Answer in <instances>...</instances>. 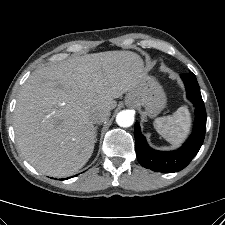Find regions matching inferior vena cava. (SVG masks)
<instances>
[{"label":"inferior vena cava","instance_id":"1","mask_svg":"<svg viewBox=\"0 0 225 225\" xmlns=\"http://www.w3.org/2000/svg\"><path fill=\"white\" fill-rule=\"evenodd\" d=\"M110 116V110L107 108H98L93 111L91 120L94 124H100L106 121Z\"/></svg>","mask_w":225,"mask_h":225}]
</instances>
